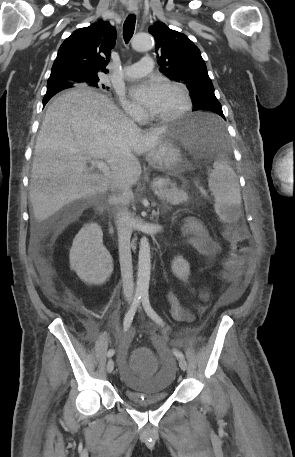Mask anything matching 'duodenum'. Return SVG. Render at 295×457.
<instances>
[{
	"label": "duodenum",
	"instance_id": "obj_1",
	"mask_svg": "<svg viewBox=\"0 0 295 457\" xmlns=\"http://www.w3.org/2000/svg\"><path fill=\"white\" fill-rule=\"evenodd\" d=\"M97 213L101 216L103 215L104 209H103L102 205L97 206Z\"/></svg>",
	"mask_w": 295,
	"mask_h": 457
}]
</instances>
